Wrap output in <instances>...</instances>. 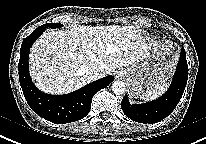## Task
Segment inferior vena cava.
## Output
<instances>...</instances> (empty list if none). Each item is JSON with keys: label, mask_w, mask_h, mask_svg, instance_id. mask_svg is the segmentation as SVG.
I'll return each instance as SVG.
<instances>
[{"label": "inferior vena cava", "mask_w": 206, "mask_h": 144, "mask_svg": "<svg viewBox=\"0 0 206 144\" xmlns=\"http://www.w3.org/2000/svg\"><path fill=\"white\" fill-rule=\"evenodd\" d=\"M86 74L90 80H97L103 76L102 69L97 66L88 68Z\"/></svg>", "instance_id": "602c4592"}]
</instances>
